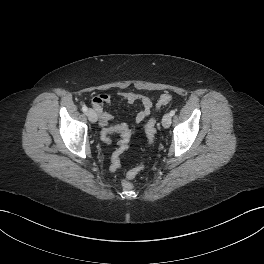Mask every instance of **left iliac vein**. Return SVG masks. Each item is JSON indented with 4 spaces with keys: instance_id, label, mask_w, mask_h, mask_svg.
<instances>
[{
    "instance_id": "left-iliac-vein-1",
    "label": "left iliac vein",
    "mask_w": 264,
    "mask_h": 264,
    "mask_svg": "<svg viewBox=\"0 0 264 264\" xmlns=\"http://www.w3.org/2000/svg\"><path fill=\"white\" fill-rule=\"evenodd\" d=\"M171 121H172L171 115L170 114H165L163 116V118H162V125H163V127H165V128L170 127Z\"/></svg>"
}]
</instances>
